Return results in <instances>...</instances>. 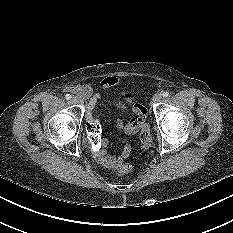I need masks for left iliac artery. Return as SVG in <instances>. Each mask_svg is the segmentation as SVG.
Segmentation results:
<instances>
[{
	"label": "left iliac artery",
	"instance_id": "left-iliac-artery-1",
	"mask_svg": "<svg viewBox=\"0 0 233 233\" xmlns=\"http://www.w3.org/2000/svg\"><path fill=\"white\" fill-rule=\"evenodd\" d=\"M169 96V92L165 91L163 92V97H168Z\"/></svg>",
	"mask_w": 233,
	"mask_h": 233
}]
</instances>
